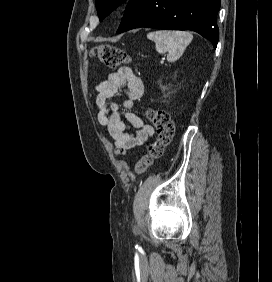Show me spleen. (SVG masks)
<instances>
[{"mask_svg":"<svg viewBox=\"0 0 272 282\" xmlns=\"http://www.w3.org/2000/svg\"><path fill=\"white\" fill-rule=\"evenodd\" d=\"M147 38L155 42L158 53H167V60L174 62L183 55L193 36L184 31L159 30L148 33Z\"/></svg>","mask_w":272,"mask_h":282,"instance_id":"spleen-1","label":"spleen"}]
</instances>
